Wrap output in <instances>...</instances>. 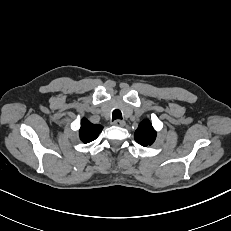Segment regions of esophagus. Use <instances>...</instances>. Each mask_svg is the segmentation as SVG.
<instances>
[{
  "instance_id": "34e87169",
  "label": "esophagus",
  "mask_w": 231,
  "mask_h": 231,
  "mask_svg": "<svg viewBox=\"0 0 231 231\" xmlns=\"http://www.w3.org/2000/svg\"><path fill=\"white\" fill-rule=\"evenodd\" d=\"M113 125L117 126V127H123V126H125V122L122 120H116L113 122Z\"/></svg>"
}]
</instances>
